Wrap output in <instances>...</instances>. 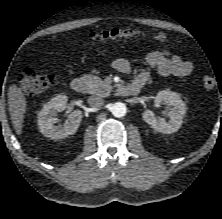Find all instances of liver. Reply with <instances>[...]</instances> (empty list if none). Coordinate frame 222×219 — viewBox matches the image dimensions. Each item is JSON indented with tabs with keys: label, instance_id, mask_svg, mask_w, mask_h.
I'll return each instance as SVG.
<instances>
[{
	"label": "liver",
	"instance_id": "6515ba94",
	"mask_svg": "<svg viewBox=\"0 0 222 219\" xmlns=\"http://www.w3.org/2000/svg\"><path fill=\"white\" fill-rule=\"evenodd\" d=\"M26 103L22 90L15 84H12L8 90V106L11 122L18 135L22 133Z\"/></svg>",
	"mask_w": 222,
	"mask_h": 219
}]
</instances>
